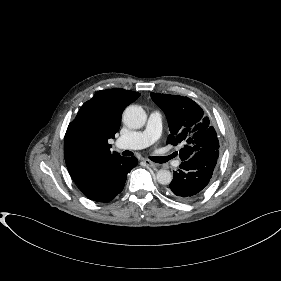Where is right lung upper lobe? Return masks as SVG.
Returning a JSON list of instances; mask_svg holds the SVG:
<instances>
[{"label": "right lung upper lobe", "mask_w": 281, "mask_h": 281, "mask_svg": "<svg viewBox=\"0 0 281 281\" xmlns=\"http://www.w3.org/2000/svg\"><path fill=\"white\" fill-rule=\"evenodd\" d=\"M140 96L121 88L98 91L85 102L65 134V162L74 182H88L109 160L120 155L111 153L108 140L119 130L123 110Z\"/></svg>", "instance_id": "cb5924a9"}]
</instances>
